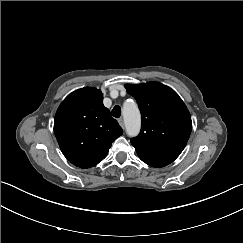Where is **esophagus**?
Wrapping results in <instances>:
<instances>
[{
    "label": "esophagus",
    "mask_w": 243,
    "mask_h": 243,
    "mask_svg": "<svg viewBox=\"0 0 243 243\" xmlns=\"http://www.w3.org/2000/svg\"><path fill=\"white\" fill-rule=\"evenodd\" d=\"M119 125L124 128V121L122 118L118 119Z\"/></svg>",
    "instance_id": "obj_1"
}]
</instances>
